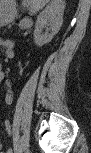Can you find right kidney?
<instances>
[{
    "label": "right kidney",
    "mask_w": 91,
    "mask_h": 153,
    "mask_svg": "<svg viewBox=\"0 0 91 153\" xmlns=\"http://www.w3.org/2000/svg\"><path fill=\"white\" fill-rule=\"evenodd\" d=\"M64 8L63 0H52L38 15L34 31V41L37 46L41 47L49 43L58 33L63 23ZM46 26H50L51 32L43 34L42 31Z\"/></svg>",
    "instance_id": "obj_1"
}]
</instances>
